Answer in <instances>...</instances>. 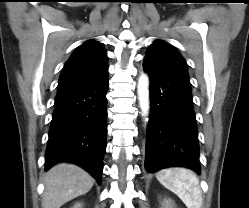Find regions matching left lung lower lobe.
Here are the masks:
<instances>
[{"mask_svg": "<svg viewBox=\"0 0 249 208\" xmlns=\"http://www.w3.org/2000/svg\"><path fill=\"white\" fill-rule=\"evenodd\" d=\"M150 79L145 169L186 167L200 174L198 131L189 77L144 59Z\"/></svg>", "mask_w": 249, "mask_h": 208, "instance_id": "1", "label": "left lung lower lobe"}]
</instances>
